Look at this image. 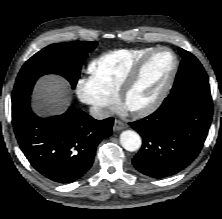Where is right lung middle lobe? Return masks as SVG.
<instances>
[{"label": "right lung middle lobe", "instance_id": "right-lung-middle-lobe-1", "mask_svg": "<svg viewBox=\"0 0 222 219\" xmlns=\"http://www.w3.org/2000/svg\"><path fill=\"white\" fill-rule=\"evenodd\" d=\"M96 42L74 41L51 44L32 56L21 68L13 90L12 103L29 97L36 80L45 74H59L75 87L80 68Z\"/></svg>", "mask_w": 222, "mask_h": 219}]
</instances>
